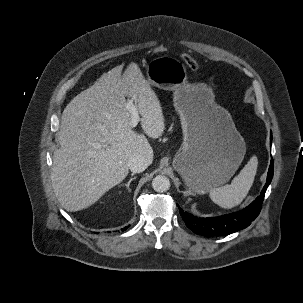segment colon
Listing matches in <instances>:
<instances>
[{"instance_id":"5ec220e1","label":"colon","mask_w":303,"mask_h":303,"mask_svg":"<svg viewBox=\"0 0 303 303\" xmlns=\"http://www.w3.org/2000/svg\"><path fill=\"white\" fill-rule=\"evenodd\" d=\"M167 51V48L164 45H158L155 47L154 52L156 54H162L165 53ZM182 59L184 61V63L187 65V67H189L191 70H198L200 67L199 62L193 58L191 55L184 53L182 55Z\"/></svg>"}]
</instances>
